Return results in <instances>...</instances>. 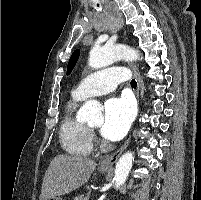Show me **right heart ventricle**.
<instances>
[{
  "mask_svg": "<svg viewBox=\"0 0 201 200\" xmlns=\"http://www.w3.org/2000/svg\"><path fill=\"white\" fill-rule=\"evenodd\" d=\"M83 100L72 94V98L65 106L59 130L63 149L76 156H86L92 151L91 132L88 126L77 117V108Z\"/></svg>",
  "mask_w": 201,
  "mask_h": 200,
  "instance_id": "e07e8e85",
  "label": "right heart ventricle"
}]
</instances>
